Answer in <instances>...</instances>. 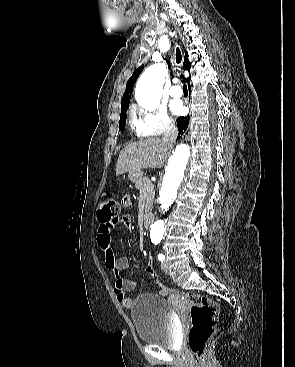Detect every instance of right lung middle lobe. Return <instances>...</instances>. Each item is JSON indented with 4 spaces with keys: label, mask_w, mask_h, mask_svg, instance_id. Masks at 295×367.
<instances>
[{
    "label": "right lung middle lobe",
    "mask_w": 295,
    "mask_h": 367,
    "mask_svg": "<svg viewBox=\"0 0 295 367\" xmlns=\"http://www.w3.org/2000/svg\"><path fill=\"white\" fill-rule=\"evenodd\" d=\"M129 106V103L121 106V114H120V122H119V130L123 131L125 129L126 123V111Z\"/></svg>",
    "instance_id": "obj_1"
}]
</instances>
